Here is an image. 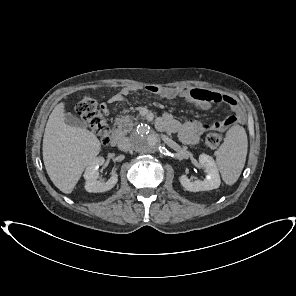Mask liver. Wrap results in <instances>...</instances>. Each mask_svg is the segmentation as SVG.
Wrapping results in <instances>:
<instances>
[{
    "label": "liver",
    "mask_w": 296,
    "mask_h": 296,
    "mask_svg": "<svg viewBox=\"0 0 296 296\" xmlns=\"http://www.w3.org/2000/svg\"><path fill=\"white\" fill-rule=\"evenodd\" d=\"M64 107L63 102L57 104L47 121L43 161L54 185L70 194L85 167L101 151V143L93 132L66 124Z\"/></svg>",
    "instance_id": "6515ba94"
}]
</instances>
